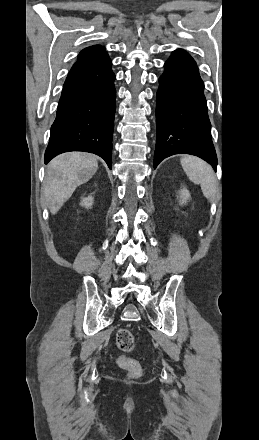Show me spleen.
Wrapping results in <instances>:
<instances>
[{"label": "spleen", "mask_w": 259, "mask_h": 440, "mask_svg": "<svg viewBox=\"0 0 259 440\" xmlns=\"http://www.w3.org/2000/svg\"><path fill=\"white\" fill-rule=\"evenodd\" d=\"M181 165L189 179L195 184H200L203 195L212 201L217 191V183L210 165L193 156L183 157Z\"/></svg>", "instance_id": "spleen-1"}]
</instances>
